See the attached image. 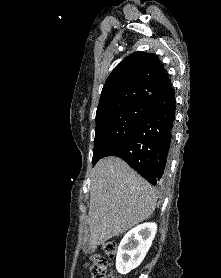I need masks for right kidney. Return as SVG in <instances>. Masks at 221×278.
Returning <instances> with one entry per match:
<instances>
[{"label":"right kidney","instance_id":"obj_1","mask_svg":"<svg viewBox=\"0 0 221 278\" xmlns=\"http://www.w3.org/2000/svg\"><path fill=\"white\" fill-rule=\"evenodd\" d=\"M157 231L155 223H144L131 229L119 244L116 269L127 274L137 268L146 256Z\"/></svg>","mask_w":221,"mask_h":278}]
</instances>
